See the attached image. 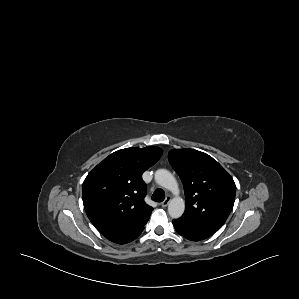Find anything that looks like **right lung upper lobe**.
I'll use <instances>...</instances> for the list:
<instances>
[{
    "label": "right lung upper lobe",
    "instance_id": "cb5924a9",
    "mask_svg": "<svg viewBox=\"0 0 299 299\" xmlns=\"http://www.w3.org/2000/svg\"><path fill=\"white\" fill-rule=\"evenodd\" d=\"M158 147L126 148L99 163L85 178L83 204L89 220L104 237L143 228L152 208L145 204L142 174L161 157Z\"/></svg>",
    "mask_w": 299,
    "mask_h": 299
}]
</instances>
